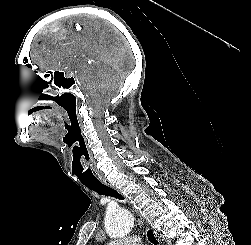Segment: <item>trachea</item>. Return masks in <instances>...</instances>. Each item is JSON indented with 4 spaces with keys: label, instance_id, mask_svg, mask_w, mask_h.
Listing matches in <instances>:
<instances>
[{
    "label": "trachea",
    "instance_id": "trachea-1",
    "mask_svg": "<svg viewBox=\"0 0 251 245\" xmlns=\"http://www.w3.org/2000/svg\"><path fill=\"white\" fill-rule=\"evenodd\" d=\"M84 185L90 189L93 190L95 192H97L98 194L101 195H105V196H111L114 198H118V199H122V197L120 196V194L114 190L113 188L101 183V182H93V183H84ZM147 236H148V240L154 244V245H158V240L155 238L154 233L149 230L147 232Z\"/></svg>",
    "mask_w": 251,
    "mask_h": 245
}]
</instances>
